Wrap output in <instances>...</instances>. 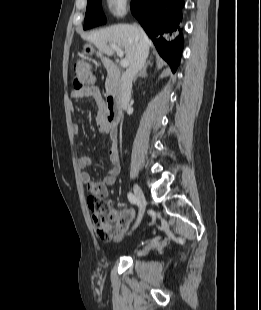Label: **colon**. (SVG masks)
I'll return each mask as SVG.
<instances>
[{"mask_svg": "<svg viewBox=\"0 0 261 310\" xmlns=\"http://www.w3.org/2000/svg\"><path fill=\"white\" fill-rule=\"evenodd\" d=\"M97 81V75L86 59H77L72 65V88L76 92L92 88ZM88 207L92 213V218L97 234L102 240H119L127 230L133 218L131 210L124 208L123 214L116 217L108 213V203L98 195L89 196Z\"/></svg>", "mask_w": 261, "mask_h": 310, "instance_id": "obj_1", "label": "colon"}]
</instances>
